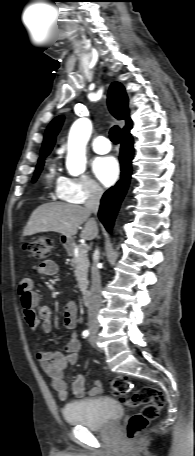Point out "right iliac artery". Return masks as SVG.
<instances>
[{"instance_id": "obj_1", "label": "right iliac artery", "mask_w": 195, "mask_h": 456, "mask_svg": "<svg viewBox=\"0 0 195 456\" xmlns=\"http://www.w3.org/2000/svg\"><path fill=\"white\" fill-rule=\"evenodd\" d=\"M89 334H90V333H89L88 330H84L83 333H82V335H83L84 338L88 337Z\"/></svg>"}]
</instances>
